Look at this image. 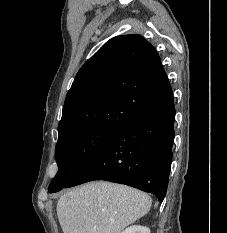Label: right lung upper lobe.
I'll use <instances>...</instances> for the list:
<instances>
[{
    "label": "right lung upper lobe",
    "instance_id": "obj_1",
    "mask_svg": "<svg viewBox=\"0 0 227 233\" xmlns=\"http://www.w3.org/2000/svg\"><path fill=\"white\" fill-rule=\"evenodd\" d=\"M172 95L155 48L140 35L117 36L78 71L58 132L84 127L119 130Z\"/></svg>",
    "mask_w": 227,
    "mask_h": 233
}]
</instances>
